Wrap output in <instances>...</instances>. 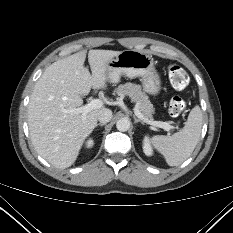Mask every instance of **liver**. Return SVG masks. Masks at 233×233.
<instances>
[{"instance_id": "6515ba94", "label": "liver", "mask_w": 233, "mask_h": 233, "mask_svg": "<svg viewBox=\"0 0 233 233\" xmlns=\"http://www.w3.org/2000/svg\"><path fill=\"white\" fill-rule=\"evenodd\" d=\"M120 51L90 50L85 67V52H78L51 64L38 79L28 105V126L37 153L57 168L70 167L97 125L98 113L93 109L85 117L70 113L82 105L81 96L91 88L105 89L107 63Z\"/></svg>"}]
</instances>
